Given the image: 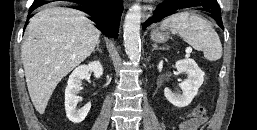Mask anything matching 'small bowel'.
<instances>
[{
    "label": "small bowel",
    "mask_w": 257,
    "mask_h": 130,
    "mask_svg": "<svg viewBox=\"0 0 257 130\" xmlns=\"http://www.w3.org/2000/svg\"><path fill=\"white\" fill-rule=\"evenodd\" d=\"M203 120H188L181 124L180 130H196Z\"/></svg>",
    "instance_id": "1"
}]
</instances>
